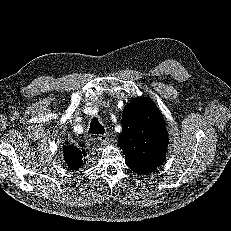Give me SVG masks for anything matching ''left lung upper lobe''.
<instances>
[{"mask_svg": "<svg viewBox=\"0 0 231 231\" xmlns=\"http://www.w3.org/2000/svg\"><path fill=\"white\" fill-rule=\"evenodd\" d=\"M119 145L127 166L138 174L151 173L164 163L168 132L162 114L152 101L136 98L126 105Z\"/></svg>", "mask_w": 231, "mask_h": 231, "instance_id": "1", "label": "left lung upper lobe"}]
</instances>
